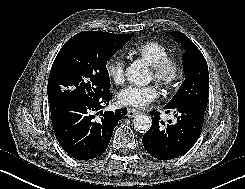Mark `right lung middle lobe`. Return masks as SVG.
<instances>
[{"label":"right lung middle lobe","mask_w":245,"mask_h":189,"mask_svg":"<svg viewBox=\"0 0 245 189\" xmlns=\"http://www.w3.org/2000/svg\"><path fill=\"white\" fill-rule=\"evenodd\" d=\"M133 35L113 39L95 31H83L69 39L50 71L49 103L91 97L98 90L110 89L107 61Z\"/></svg>","instance_id":"obj_1"}]
</instances>
